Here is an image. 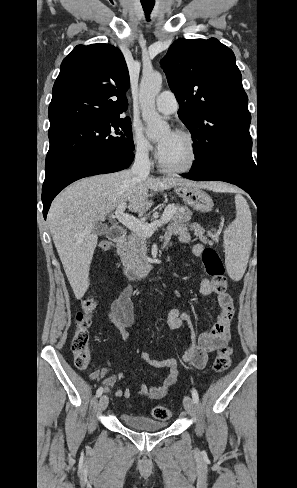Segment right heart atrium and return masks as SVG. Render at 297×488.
Listing matches in <instances>:
<instances>
[{"instance_id":"1","label":"right heart atrium","mask_w":297,"mask_h":488,"mask_svg":"<svg viewBox=\"0 0 297 488\" xmlns=\"http://www.w3.org/2000/svg\"><path fill=\"white\" fill-rule=\"evenodd\" d=\"M131 144L135 155L139 158L149 159L154 153L153 144L138 124H133L131 127Z\"/></svg>"}]
</instances>
